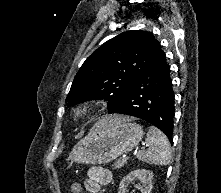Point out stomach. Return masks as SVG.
Instances as JSON below:
<instances>
[{
	"label": "stomach",
	"mask_w": 221,
	"mask_h": 193,
	"mask_svg": "<svg viewBox=\"0 0 221 193\" xmlns=\"http://www.w3.org/2000/svg\"><path fill=\"white\" fill-rule=\"evenodd\" d=\"M143 135L142 126L134 122L125 120L107 126L100 120L74 146L69 158L78 164H106L133 150Z\"/></svg>",
	"instance_id": "1"
}]
</instances>
